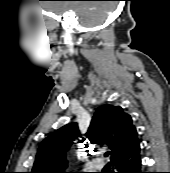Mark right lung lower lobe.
I'll list each match as a JSON object with an SVG mask.
<instances>
[{"instance_id": "1", "label": "right lung lower lobe", "mask_w": 170, "mask_h": 173, "mask_svg": "<svg viewBox=\"0 0 170 173\" xmlns=\"http://www.w3.org/2000/svg\"><path fill=\"white\" fill-rule=\"evenodd\" d=\"M116 173H144L141 171L140 145H136L112 159Z\"/></svg>"}]
</instances>
